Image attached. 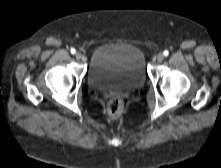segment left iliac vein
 I'll return each instance as SVG.
<instances>
[{
  "instance_id": "left-iliac-vein-1",
  "label": "left iliac vein",
  "mask_w": 221,
  "mask_h": 168,
  "mask_svg": "<svg viewBox=\"0 0 221 168\" xmlns=\"http://www.w3.org/2000/svg\"><path fill=\"white\" fill-rule=\"evenodd\" d=\"M164 60V55L162 54V53H159L158 55H157V61L158 62H162Z\"/></svg>"
}]
</instances>
